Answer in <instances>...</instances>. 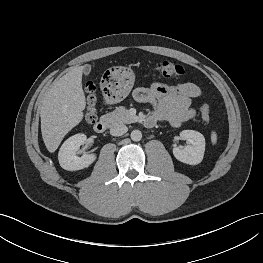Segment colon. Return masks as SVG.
<instances>
[{
	"mask_svg": "<svg viewBox=\"0 0 263 263\" xmlns=\"http://www.w3.org/2000/svg\"><path fill=\"white\" fill-rule=\"evenodd\" d=\"M157 72L162 77H167V78L176 77V78H178L184 74V69L176 63H173V62L168 61V60H163L157 64ZM85 90L87 93V100H88V108H87L85 118H86L88 123L92 124L97 120V114L95 111V95H94L95 85H94V83L93 82L86 83ZM200 111H201L202 119L206 123H210L211 122V114H210L208 106L206 104H203L201 106Z\"/></svg>",
	"mask_w": 263,
	"mask_h": 263,
	"instance_id": "obj_1",
	"label": "colon"
}]
</instances>
